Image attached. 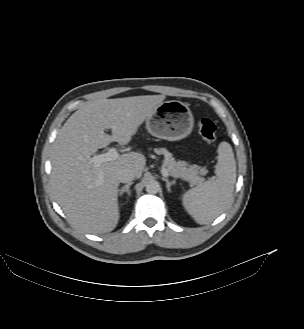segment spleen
<instances>
[{"label":"spleen","instance_id":"obj_1","mask_svg":"<svg viewBox=\"0 0 304 329\" xmlns=\"http://www.w3.org/2000/svg\"><path fill=\"white\" fill-rule=\"evenodd\" d=\"M216 176L182 196L186 211L198 224H208L224 212L230 204L236 183V161L232 147L222 142L218 147Z\"/></svg>","mask_w":304,"mask_h":329}]
</instances>
